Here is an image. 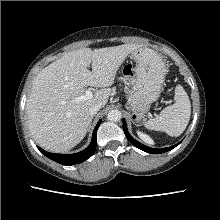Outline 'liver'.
Instances as JSON below:
<instances>
[{"mask_svg":"<svg viewBox=\"0 0 220 220\" xmlns=\"http://www.w3.org/2000/svg\"><path fill=\"white\" fill-rule=\"evenodd\" d=\"M123 44L99 49L81 48L43 68L34 78L26 102L28 127L33 139L51 152H66L75 147L90 128L91 106L108 102L117 71L126 57L139 49ZM92 65V71L87 68ZM100 87L85 95V87Z\"/></svg>","mask_w":220,"mask_h":220,"instance_id":"1","label":"liver"}]
</instances>
